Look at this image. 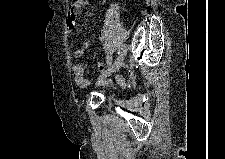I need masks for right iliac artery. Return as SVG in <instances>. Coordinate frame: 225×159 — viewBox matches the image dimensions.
<instances>
[{"label":"right iliac artery","instance_id":"1","mask_svg":"<svg viewBox=\"0 0 225 159\" xmlns=\"http://www.w3.org/2000/svg\"><path fill=\"white\" fill-rule=\"evenodd\" d=\"M122 47H119V49H118V54H120L121 53V51H122ZM109 64H110V62H108Z\"/></svg>","mask_w":225,"mask_h":159}]
</instances>
